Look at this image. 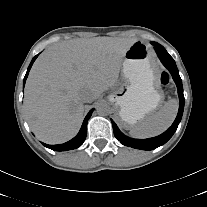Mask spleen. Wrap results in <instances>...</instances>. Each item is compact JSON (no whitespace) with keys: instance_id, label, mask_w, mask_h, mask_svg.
Here are the masks:
<instances>
[{"instance_id":"3e777b00","label":"spleen","mask_w":207,"mask_h":207,"mask_svg":"<svg viewBox=\"0 0 207 207\" xmlns=\"http://www.w3.org/2000/svg\"><path fill=\"white\" fill-rule=\"evenodd\" d=\"M177 111L178 101L171 99L159 111L132 126L129 133L136 138H148L159 135L173 123Z\"/></svg>"}]
</instances>
